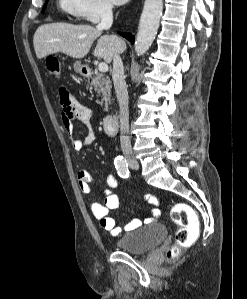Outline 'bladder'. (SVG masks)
<instances>
[{
	"label": "bladder",
	"mask_w": 247,
	"mask_h": 299,
	"mask_svg": "<svg viewBox=\"0 0 247 299\" xmlns=\"http://www.w3.org/2000/svg\"><path fill=\"white\" fill-rule=\"evenodd\" d=\"M166 236L163 224L153 222L124 234L116 241V247L130 254H143L155 248Z\"/></svg>",
	"instance_id": "31cf9c89"
}]
</instances>
